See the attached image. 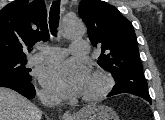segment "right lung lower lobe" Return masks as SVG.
<instances>
[{
  "instance_id": "obj_1",
  "label": "right lung lower lobe",
  "mask_w": 165,
  "mask_h": 120,
  "mask_svg": "<svg viewBox=\"0 0 165 120\" xmlns=\"http://www.w3.org/2000/svg\"><path fill=\"white\" fill-rule=\"evenodd\" d=\"M0 87L13 89L28 99H32L35 96V89L31 81L0 78Z\"/></svg>"
}]
</instances>
